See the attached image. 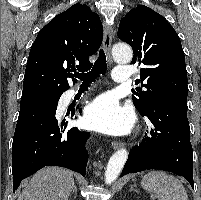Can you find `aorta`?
Returning a JSON list of instances; mask_svg holds the SVG:
<instances>
[{"mask_svg":"<svg viewBox=\"0 0 201 200\" xmlns=\"http://www.w3.org/2000/svg\"><path fill=\"white\" fill-rule=\"evenodd\" d=\"M112 55L117 62L128 63L133 57V52L128 45L118 43L114 45ZM127 158L128 151L126 149H119L110 157L105 171L106 184H111L117 179Z\"/></svg>","mask_w":201,"mask_h":200,"instance_id":"1","label":"aorta"}]
</instances>
